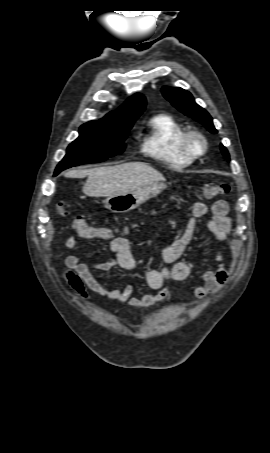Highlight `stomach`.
Masks as SVG:
<instances>
[{
	"label": "stomach",
	"instance_id": "1",
	"mask_svg": "<svg viewBox=\"0 0 270 453\" xmlns=\"http://www.w3.org/2000/svg\"><path fill=\"white\" fill-rule=\"evenodd\" d=\"M165 187L164 184L153 183L126 194L109 196L104 200V204L113 213H126L157 196Z\"/></svg>",
	"mask_w": 270,
	"mask_h": 453
}]
</instances>
